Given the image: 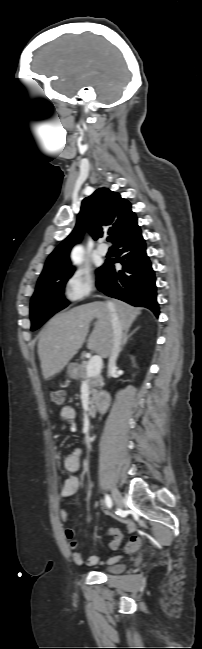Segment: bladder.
Listing matches in <instances>:
<instances>
[{"instance_id": "bladder-1", "label": "bladder", "mask_w": 202, "mask_h": 649, "mask_svg": "<svg viewBox=\"0 0 202 649\" xmlns=\"http://www.w3.org/2000/svg\"><path fill=\"white\" fill-rule=\"evenodd\" d=\"M125 569V565L123 563H116L114 565H111L107 567L104 571L107 573H120Z\"/></svg>"}]
</instances>
